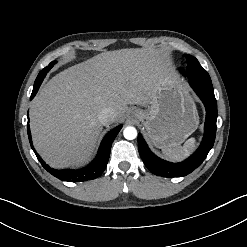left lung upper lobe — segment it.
Listing matches in <instances>:
<instances>
[{
	"label": "left lung upper lobe",
	"mask_w": 247,
	"mask_h": 247,
	"mask_svg": "<svg viewBox=\"0 0 247 247\" xmlns=\"http://www.w3.org/2000/svg\"><path fill=\"white\" fill-rule=\"evenodd\" d=\"M188 67L184 71V75L188 78H195L198 80L211 81L207 71L200 65L198 60L191 56L186 55Z\"/></svg>",
	"instance_id": "left-lung-upper-lobe-1"
}]
</instances>
